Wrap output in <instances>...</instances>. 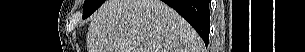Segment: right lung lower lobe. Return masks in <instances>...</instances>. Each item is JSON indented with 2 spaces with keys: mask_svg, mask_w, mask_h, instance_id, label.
I'll list each match as a JSON object with an SVG mask.
<instances>
[{
  "mask_svg": "<svg viewBox=\"0 0 305 52\" xmlns=\"http://www.w3.org/2000/svg\"><path fill=\"white\" fill-rule=\"evenodd\" d=\"M175 9L208 45L210 32L209 0H162Z\"/></svg>",
  "mask_w": 305,
  "mask_h": 52,
  "instance_id": "right-lung-lower-lobe-1",
  "label": "right lung lower lobe"
}]
</instances>
